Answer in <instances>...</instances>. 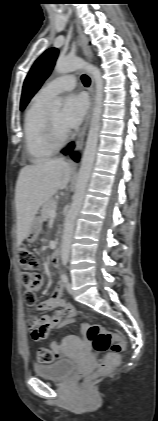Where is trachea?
Wrapping results in <instances>:
<instances>
[{
  "mask_svg": "<svg viewBox=\"0 0 158 421\" xmlns=\"http://www.w3.org/2000/svg\"><path fill=\"white\" fill-rule=\"evenodd\" d=\"M81 79H82V82L85 86L90 85V78L87 75H82Z\"/></svg>",
  "mask_w": 158,
  "mask_h": 421,
  "instance_id": "trachea-1",
  "label": "trachea"
}]
</instances>
